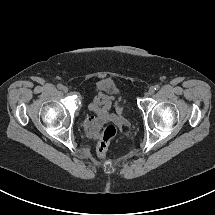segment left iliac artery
<instances>
[{
	"mask_svg": "<svg viewBox=\"0 0 215 215\" xmlns=\"http://www.w3.org/2000/svg\"><path fill=\"white\" fill-rule=\"evenodd\" d=\"M159 88H160V86H159L158 84H156V85L154 86V89H155V90H159Z\"/></svg>",
	"mask_w": 215,
	"mask_h": 215,
	"instance_id": "obj_1",
	"label": "left iliac artery"
}]
</instances>
